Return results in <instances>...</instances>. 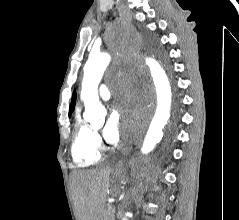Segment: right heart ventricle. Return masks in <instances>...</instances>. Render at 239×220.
<instances>
[{
	"instance_id": "obj_1",
	"label": "right heart ventricle",
	"mask_w": 239,
	"mask_h": 220,
	"mask_svg": "<svg viewBox=\"0 0 239 220\" xmlns=\"http://www.w3.org/2000/svg\"><path fill=\"white\" fill-rule=\"evenodd\" d=\"M94 131L82 119L79 112L75 115L71 156L75 166L90 167L101 159L99 147L94 139Z\"/></svg>"
}]
</instances>
